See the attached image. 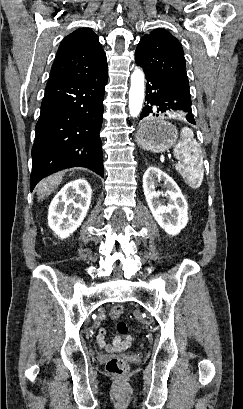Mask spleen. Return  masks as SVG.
I'll list each match as a JSON object with an SVG mask.
<instances>
[{"mask_svg": "<svg viewBox=\"0 0 243 409\" xmlns=\"http://www.w3.org/2000/svg\"><path fill=\"white\" fill-rule=\"evenodd\" d=\"M174 156L181 161L175 167L185 182L191 188H199L204 176L203 158L190 128L183 127L181 129L180 140L175 146Z\"/></svg>", "mask_w": 243, "mask_h": 409, "instance_id": "spleen-1", "label": "spleen"}]
</instances>
